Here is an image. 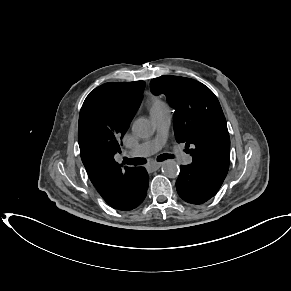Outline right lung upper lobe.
<instances>
[{
	"label": "right lung upper lobe",
	"instance_id": "obj_1",
	"mask_svg": "<svg viewBox=\"0 0 291 291\" xmlns=\"http://www.w3.org/2000/svg\"><path fill=\"white\" fill-rule=\"evenodd\" d=\"M144 81L109 82L89 93L80 110L78 143L87 174L103 199L115 205L126 199L127 176L114 160L119 139L139 108Z\"/></svg>",
	"mask_w": 291,
	"mask_h": 291
}]
</instances>
